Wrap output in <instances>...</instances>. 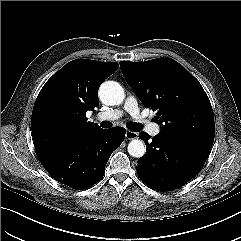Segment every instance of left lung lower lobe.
Masks as SVG:
<instances>
[{
  "mask_svg": "<svg viewBox=\"0 0 241 241\" xmlns=\"http://www.w3.org/2000/svg\"><path fill=\"white\" fill-rule=\"evenodd\" d=\"M139 138L146 153L139 158L137 172L152 189L169 191L181 187L203 167L212 145L159 133L152 141L145 132Z\"/></svg>",
  "mask_w": 241,
  "mask_h": 241,
  "instance_id": "0a47b994",
  "label": "left lung lower lobe"
}]
</instances>
